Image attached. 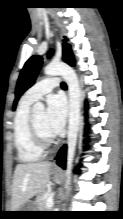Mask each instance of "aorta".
Wrapping results in <instances>:
<instances>
[{"label":"aorta","instance_id":"762f6f07","mask_svg":"<svg viewBox=\"0 0 123 219\" xmlns=\"http://www.w3.org/2000/svg\"><path fill=\"white\" fill-rule=\"evenodd\" d=\"M44 73L48 76L60 75L63 77L68 85L69 92V125L67 133V166L66 177L67 185L70 182L72 172V162L74 158L79 125H80V103H81V90L78 77L75 71L67 64L61 62H51L48 64ZM45 106L41 102L35 103L33 111L35 113H43Z\"/></svg>","mask_w":123,"mask_h":219}]
</instances>
